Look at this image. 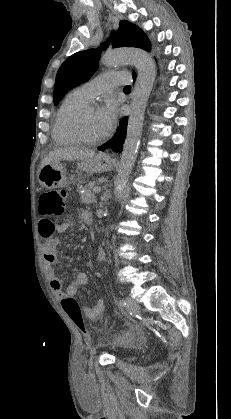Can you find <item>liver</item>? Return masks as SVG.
<instances>
[{
  "label": "liver",
  "mask_w": 231,
  "mask_h": 419,
  "mask_svg": "<svg viewBox=\"0 0 231 419\" xmlns=\"http://www.w3.org/2000/svg\"><path fill=\"white\" fill-rule=\"evenodd\" d=\"M95 155V151L79 148V147H64L57 148L50 152L41 161L40 167L45 164L60 160H85Z\"/></svg>",
  "instance_id": "1"
}]
</instances>
